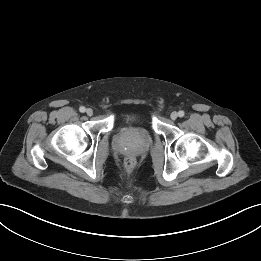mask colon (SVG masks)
Listing matches in <instances>:
<instances>
[{"mask_svg":"<svg viewBox=\"0 0 261 261\" xmlns=\"http://www.w3.org/2000/svg\"><path fill=\"white\" fill-rule=\"evenodd\" d=\"M134 166H135V160L133 158H127L125 160L126 169L131 170L134 168Z\"/></svg>","mask_w":261,"mask_h":261,"instance_id":"1","label":"colon"}]
</instances>
